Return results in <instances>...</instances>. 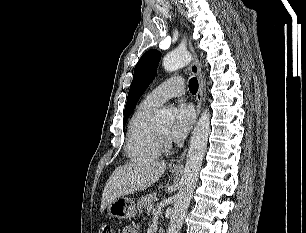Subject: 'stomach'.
Here are the masks:
<instances>
[{"label":"stomach","instance_id":"obj_1","mask_svg":"<svg viewBox=\"0 0 306 233\" xmlns=\"http://www.w3.org/2000/svg\"><path fill=\"white\" fill-rule=\"evenodd\" d=\"M172 173H177V170H170ZM108 214L117 219L133 218L136 215V205L131 198L122 196L111 202L107 206Z\"/></svg>","mask_w":306,"mask_h":233}]
</instances>
